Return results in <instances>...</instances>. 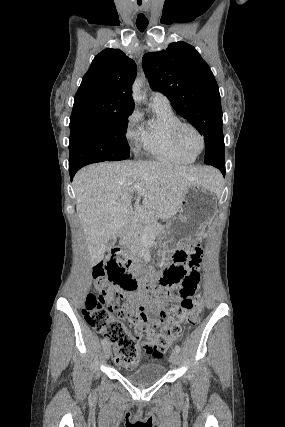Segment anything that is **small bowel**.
Returning <instances> with one entry per match:
<instances>
[{"label": "small bowel", "instance_id": "1", "mask_svg": "<svg viewBox=\"0 0 285 427\" xmlns=\"http://www.w3.org/2000/svg\"><path fill=\"white\" fill-rule=\"evenodd\" d=\"M196 254L188 261L187 270L191 274H199L198 266L200 263L201 250L196 247ZM184 294L181 286L173 289L162 290L158 296L150 301L151 310L147 312V323L149 325L163 326L165 324L163 315L168 312L171 304L179 300Z\"/></svg>", "mask_w": 285, "mask_h": 427}]
</instances>
